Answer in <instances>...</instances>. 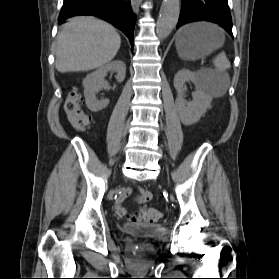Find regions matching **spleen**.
Listing matches in <instances>:
<instances>
[{"label": "spleen", "mask_w": 279, "mask_h": 279, "mask_svg": "<svg viewBox=\"0 0 279 279\" xmlns=\"http://www.w3.org/2000/svg\"><path fill=\"white\" fill-rule=\"evenodd\" d=\"M217 73L221 80L207 84L206 90L211 96L221 97L225 95L229 87V75L226 70L230 67V62L224 52H221L213 59Z\"/></svg>", "instance_id": "spleen-1"}]
</instances>
